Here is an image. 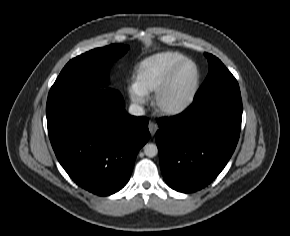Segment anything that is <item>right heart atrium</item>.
<instances>
[{
    "mask_svg": "<svg viewBox=\"0 0 290 236\" xmlns=\"http://www.w3.org/2000/svg\"><path fill=\"white\" fill-rule=\"evenodd\" d=\"M130 99L137 105H142L146 101V93L135 83L132 82L128 87Z\"/></svg>",
    "mask_w": 290,
    "mask_h": 236,
    "instance_id": "d8ad5b80",
    "label": "right heart atrium"
}]
</instances>
